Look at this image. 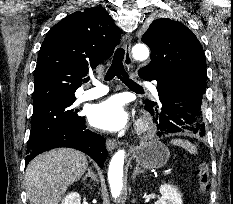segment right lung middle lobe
I'll return each instance as SVG.
<instances>
[{
  "label": "right lung middle lobe",
  "instance_id": "right-lung-middle-lobe-1",
  "mask_svg": "<svg viewBox=\"0 0 233 204\" xmlns=\"http://www.w3.org/2000/svg\"><path fill=\"white\" fill-rule=\"evenodd\" d=\"M75 100V97H59L34 103L27 143L29 149L51 135L79 123L82 117L77 114L78 110L71 107Z\"/></svg>",
  "mask_w": 233,
  "mask_h": 204
}]
</instances>
